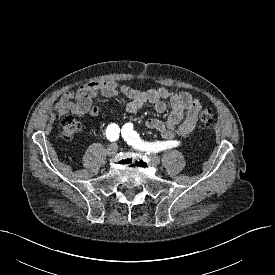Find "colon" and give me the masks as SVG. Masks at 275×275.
Here are the masks:
<instances>
[{"mask_svg": "<svg viewBox=\"0 0 275 275\" xmlns=\"http://www.w3.org/2000/svg\"><path fill=\"white\" fill-rule=\"evenodd\" d=\"M199 121L208 127L214 123V112L211 109H203L199 113ZM82 130V124L73 116L66 114L61 120V131L65 139H72Z\"/></svg>", "mask_w": 275, "mask_h": 275, "instance_id": "5ec220e1", "label": "colon"}]
</instances>
